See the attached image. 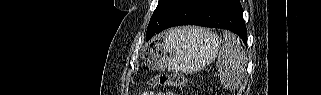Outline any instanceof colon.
Wrapping results in <instances>:
<instances>
[{"label": "colon", "instance_id": "colon-1", "mask_svg": "<svg viewBox=\"0 0 321 95\" xmlns=\"http://www.w3.org/2000/svg\"><path fill=\"white\" fill-rule=\"evenodd\" d=\"M149 86H174L185 87L188 85L186 77L180 74H159L150 78L147 82Z\"/></svg>", "mask_w": 321, "mask_h": 95}]
</instances>
